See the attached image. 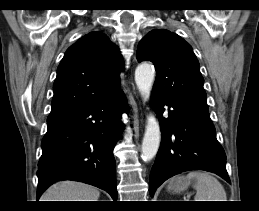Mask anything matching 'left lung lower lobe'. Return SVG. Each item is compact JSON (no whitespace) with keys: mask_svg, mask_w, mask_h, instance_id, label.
I'll use <instances>...</instances> for the list:
<instances>
[{"mask_svg":"<svg viewBox=\"0 0 259 211\" xmlns=\"http://www.w3.org/2000/svg\"><path fill=\"white\" fill-rule=\"evenodd\" d=\"M152 103L159 116L162 138L150 174V195L165 180L187 170L210 171L230 183L226 155L216 139L208 107L174 100L155 91ZM164 106H169L167 118L162 116Z\"/></svg>","mask_w":259,"mask_h":211,"instance_id":"obj_1","label":"left lung lower lobe"}]
</instances>
